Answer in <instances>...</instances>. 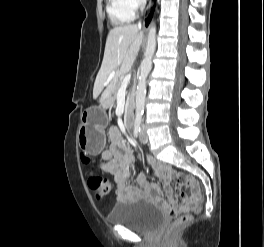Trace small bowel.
<instances>
[{"label": "small bowel", "instance_id": "obj_1", "mask_svg": "<svg viewBox=\"0 0 264 247\" xmlns=\"http://www.w3.org/2000/svg\"><path fill=\"white\" fill-rule=\"evenodd\" d=\"M108 137L110 144L108 149L102 154L101 169L113 175L118 201L126 202L144 195L161 202L163 198L160 190L152 186L144 174H140L138 177V184L142 192L128 183L133 161L132 151L122 140L117 128L111 127L108 131ZM152 165L156 176L162 182L165 195L168 199H172L173 191L170 186V180L176 174L174 169L162 162H152Z\"/></svg>", "mask_w": 264, "mask_h": 247}]
</instances>
